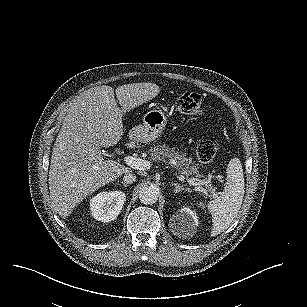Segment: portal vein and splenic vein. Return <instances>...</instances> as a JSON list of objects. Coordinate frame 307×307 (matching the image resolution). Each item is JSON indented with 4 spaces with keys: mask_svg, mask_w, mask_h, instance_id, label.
<instances>
[{
    "mask_svg": "<svg viewBox=\"0 0 307 307\" xmlns=\"http://www.w3.org/2000/svg\"><path fill=\"white\" fill-rule=\"evenodd\" d=\"M126 163L131 168L136 169V170H140V171L149 170L153 166V163L151 161L140 159V158H135V157H127ZM185 180L190 186H197L198 185V183L192 178L186 177ZM197 190L201 191V192L204 191V189L200 186L197 188Z\"/></svg>",
    "mask_w": 307,
    "mask_h": 307,
    "instance_id": "1",
    "label": "portal vein and splenic vein"
}]
</instances>
